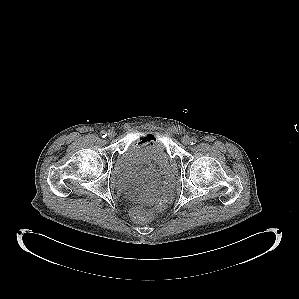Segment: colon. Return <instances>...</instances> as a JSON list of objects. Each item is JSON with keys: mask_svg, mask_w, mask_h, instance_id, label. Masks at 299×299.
<instances>
[{"mask_svg": "<svg viewBox=\"0 0 299 299\" xmlns=\"http://www.w3.org/2000/svg\"><path fill=\"white\" fill-rule=\"evenodd\" d=\"M138 186H139V182L138 181H135V182L132 183V188L133 189H137ZM164 206H165V201H162L158 205V207L156 208V211L163 210ZM130 213H131L132 217L135 218V219H144V218H146L149 215V211L145 207H141V208H139L137 210L132 209Z\"/></svg>", "mask_w": 299, "mask_h": 299, "instance_id": "1", "label": "colon"}]
</instances>
